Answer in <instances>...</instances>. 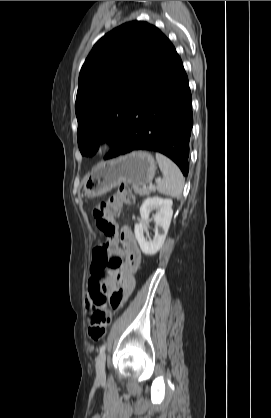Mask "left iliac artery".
Wrapping results in <instances>:
<instances>
[{"mask_svg":"<svg viewBox=\"0 0 271 418\" xmlns=\"http://www.w3.org/2000/svg\"><path fill=\"white\" fill-rule=\"evenodd\" d=\"M105 349H106V345H105V344H103V345L100 347V353H103V352L105 351Z\"/></svg>","mask_w":271,"mask_h":418,"instance_id":"44dca946","label":"left iliac artery"}]
</instances>
